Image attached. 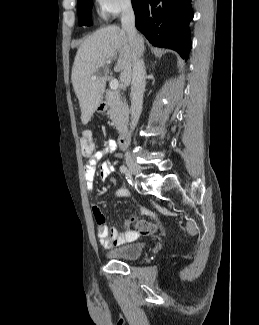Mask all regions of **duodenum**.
Segmentation results:
<instances>
[{
  "mask_svg": "<svg viewBox=\"0 0 259 325\" xmlns=\"http://www.w3.org/2000/svg\"><path fill=\"white\" fill-rule=\"evenodd\" d=\"M100 107L101 110H104L106 108V102H102ZM129 141H130V133L128 131H124L118 139L119 148H125L129 144Z\"/></svg>",
  "mask_w": 259,
  "mask_h": 325,
  "instance_id": "1",
  "label": "duodenum"
}]
</instances>
